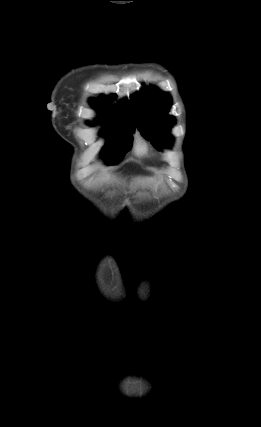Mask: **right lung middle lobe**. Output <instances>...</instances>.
Wrapping results in <instances>:
<instances>
[{
  "label": "right lung middle lobe",
  "mask_w": 261,
  "mask_h": 427,
  "mask_svg": "<svg viewBox=\"0 0 261 427\" xmlns=\"http://www.w3.org/2000/svg\"><path fill=\"white\" fill-rule=\"evenodd\" d=\"M134 130L133 124L119 122L109 123L100 131V134L107 138L102 155L108 163H118L130 150Z\"/></svg>",
  "instance_id": "1"
}]
</instances>
